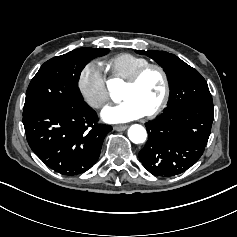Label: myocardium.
Wrapping results in <instances>:
<instances>
[{"mask_svg": "<svg viewBox=\"0 0 237 237\" xmlns=\"http://www.w3.org/2000/svg\"><path fill=\"white\" fill-rule=\"evenodd\" d=\"M150 69H156L162 75L163 82H164V95H163L160 103L153 110L144 114V116L147 118H151V117L158 115L165 109V107L168 104L171 90H170V80H169L167 71L159 64L149 63V64L143 66L142 68H140L139 70H137L131 77H129L128 79L125 80L126 84L135 85L140 81V79L143 77V75Z\"/></svg>", "mask_w": 237, "mask_h": 237, "instance_id": "obj_1", "label": "myocardium"}]
</instances>
